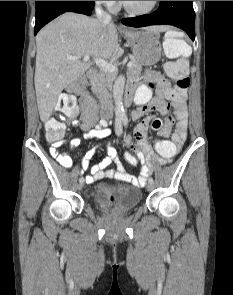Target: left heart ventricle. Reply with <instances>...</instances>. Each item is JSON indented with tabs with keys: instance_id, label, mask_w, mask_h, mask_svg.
<instances>
[{
	"instance_id": "1",
	"label": "left heart ventricle",
	"mask_w": 233,
	"mask_h": 295,
	"mask_svg": "<svg viewBox=\"0 0 233 295\" xmlns=\"http://www.w3.org/2000/svg\"><path fill=\"white\" fill-rule=\"evenodd\" d=\"M133 10L142 11L149 8L153 1H125Z\"/></svg>"
}]
</instances>
